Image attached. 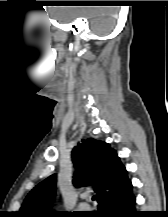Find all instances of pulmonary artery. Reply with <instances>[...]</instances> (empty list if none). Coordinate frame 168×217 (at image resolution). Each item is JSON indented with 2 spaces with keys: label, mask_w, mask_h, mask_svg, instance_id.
Masks as SVG:
<instances>
[{
  "label": "pulmonary artery",
  "mask_w": 168,
  "mask_h": 217,
  "mask_svg": "<svg viewBox=\"0 0 168 217\" xmlns=\"http://www.w3.org/2000/svg\"><path fill=\"white\" fill-rule=\"evenodd\" d=\"M79 208L80 209H88V205L86 204V203H81L80 205H79Z\"/></svg>",
  "instance_id": "pulmonary-artery-1"
}]
</instances>
